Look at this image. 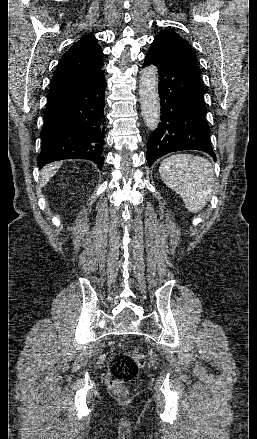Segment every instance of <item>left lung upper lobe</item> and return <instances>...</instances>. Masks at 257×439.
I'll return each instance as SVG.
<instances>
[{"mask_svg":"<svg viewBox=\"0 0 257 439\" xmlns=\"http://www.w3.org/2000/svg\"><path fill=\"white\" fill-rule=\"evenodd\" d=\"M154 41L163 43L168 51L180 55L200 76L197 57L189 43L172 30H163L154 38Z\"/></svg>","mask_w":257,"mask_h":439,"instance_id":"left-lung-upper-lobe-1","label":"left lung upper lobe"}]
</instances>
